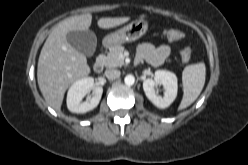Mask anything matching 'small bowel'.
Here are the masks:
<instances>
[{
	"mask_svg": "<svg viewBox=\"0 0 248 165\" xmlns=\"http://www.w3.org/2000/svg\"><path fill=\"white\" fill-rule=\"evenodd\" d=\"M171 48L168 45L154 46L151 43H143L138 48V57L152 66H158L170 55Z\"/></svg>",
	"mask_w": 248,
	"mask_h": 165,
	"instance_id": "obj_1",
	"label": "small bowel"
}]
</instances>
